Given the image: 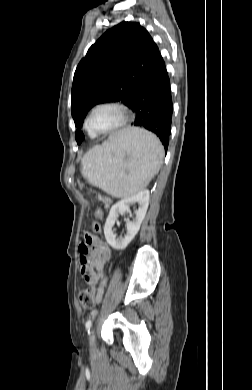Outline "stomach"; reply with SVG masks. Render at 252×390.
<instances>
[{
	"label": "stomach",
	"mask_w": 252,
	"mask_h": 390,
	"mask_svg": "<svg viewBox=\"0 0 252 390\" xmlns=\"http://www.w3.org/2000/svg\"><path fill=\"white\" fill-rule=\"evenodd\" d=\"M126 159L129 161L131 159L130 155H126Z\"/></svg>",
	"instance_id": "stomach-1"
}]
</instances>
